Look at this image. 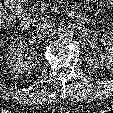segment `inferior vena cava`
<instances>
[{
    "label": "inferior vena cava",
    "instance_id": "602c4592",
    "mask_svg": "<svg viewBox=\"0 0 113 113\" xmlns=\"http://www.w3.org/2000/svg\"><path fill=\"white\" fill-rule=\"evenodd\" d=\"M53 24L46 22V23H40L37 28L36 32L40 34H48L52 30Z\"/></svg>",
    "mask_w": 113,
    "mask_h": 113
}]
</instances>
